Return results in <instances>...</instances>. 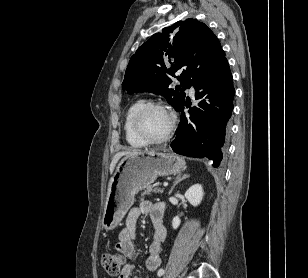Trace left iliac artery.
<instances>
[{
  "label": "left iliac artery",
  "instance_id": "left-iliac-artery-1",
  "mask_svg": "<svg viewBox=\"0 0 308 278\" xmlns=\"http://www.w3.org/2000/svg\"><path fill=\"white\" fill-rule=\"evenodd\" d=\"M164 274V270L163 269H160L159 271H158V276L160 277V276H162Z\"/></svg>",
  "mask_w": 308,
  "mask_h": 278
}]
</instances>
